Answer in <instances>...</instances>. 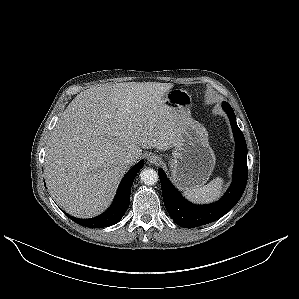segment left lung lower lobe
Here are the masks:
<instances>
[{
	"label": "left lung lower lobe",
	"instance_id": "left-lung-lower-lobe-1",
	"mask_svg": "<svg viewBox=\"0 0 299 299\" xmlns=\"http://www.w3.org/2000/svg\"><path fill=\"white\" fill-rule=\"evenodd\" d=\"M223 108L230 119L236 147L233 182L219 201L210 205H195L188 202L171 184L164 171L158 170L165 207L173 221L181 227L194 228L218 220L235 206L245 190L248 177L247 145L232 107L225 102Z\"/></svg>",
	"mask_w": 299,
	"mask_h": 299
}]
</instances>
